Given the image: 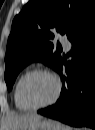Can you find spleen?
<instances>
[{
	"mask_svg": "<svg viewBox=\"0 0 95 130\" xmlns=\"http://www.w3.org/2000/svg\"><path fill=\"white\" fill-rule=\"evenodd\" d=\"M62 129H63V130H71V128L68 127V126H62Z\"/></svg>",
	"mask_w": 95,
	"mask_h": 130,
	"instance_id": "obj_1",
	"label": "spleen"
}]
</instances>
